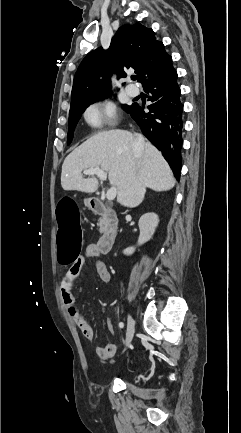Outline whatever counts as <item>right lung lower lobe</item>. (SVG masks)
<instances>
[{
    "mask_svg": "<svg viewBox=\"0 0 241 433\" xmlns=\"http://www.w3.org/2000/svg\"><path fill=\"white\" fill-rule=\"evenodd\" d=\"M152 102L144 111V105H131L128 113L136 121L146 138L157 147L169 163L174 175L180 178L183 130V104L177 84V72L172 62L158 75L143 84Z\"/></svg>",
    "mask_w": 241,
    "mask_h": 433,
    "instance_id": "1",
    "label": "right lung lower lobe"
}]
</instances>
